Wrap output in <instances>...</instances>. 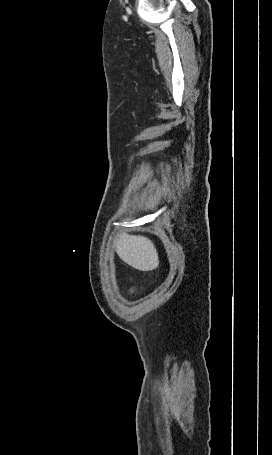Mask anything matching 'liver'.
Listing matches in <instances>:
<instances>
[{
  "label": "liver",
  "mask_w": 272,
  "mask_h": 455,
  "mask_svg": "<svg viewBox=\"0 0 272 455\" xmlns=\"http://www.w3.org/2000/svg\"><path fill=\"white\" fill-rule=\"evenodd\" d=\"M114 246L118 256L137 270L152 271L159 265L157 250L147 237L122 234L116 238Z\"/></svg>",
  "instance_id": "obj_1"
}]
</instances>
